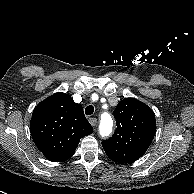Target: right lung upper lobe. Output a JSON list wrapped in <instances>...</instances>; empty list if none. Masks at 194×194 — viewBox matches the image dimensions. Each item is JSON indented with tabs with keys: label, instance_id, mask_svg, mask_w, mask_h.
<instances>
[{
	"label": "right lung upper lobe",
	"instance_id": "1",
	"mask_svg": "<svg viewBox=\"0 0 194 194\" xmlns=\"http://www.w3.org/2000/svg\"><path fill=\"white\" fill-rule=\"evenodd\" d=\"M30 132L37 148L50 161L62 162L75 152L79 141L93 132L83 108L69 94L55 93L33 110Z\"/></svg>",
	"mask_w": 194,
	"mask_h": 194
}]
</instances>
